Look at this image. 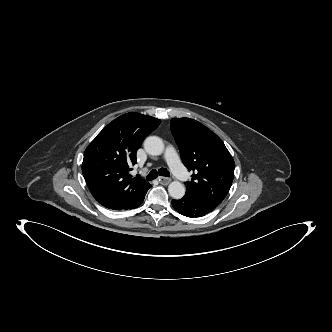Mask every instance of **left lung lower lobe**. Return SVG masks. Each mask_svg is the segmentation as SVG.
Returning <instances> with one entry per match:
<instances>
[{"label": "left lung lower lobe", "instance_id": "left-lung-lower-lobe-1", "mask_svg": "<svg viewBox=\"0 0 332 332\" xmlns=\"http://www.w3.org/2000/svg\"><path fill=\"white\" fill-rule=\"evenodd\" d=\"M172 206L180 214L187 217H201L214 210V208L209 207L189 195H185L180 200L173 199Z\"/></svg>", "mask_w": 332, "mask_h": 332}]
</instances>
